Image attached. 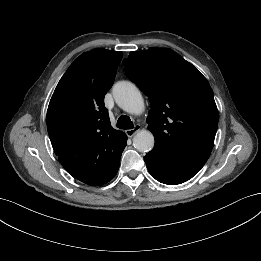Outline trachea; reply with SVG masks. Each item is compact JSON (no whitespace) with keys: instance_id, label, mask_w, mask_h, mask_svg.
Listing matches in <instances>:
<instances>
[{"instance_id":"1","label":"trachea","mask_w":261,"mask_h":261,"mask_svg":"<svg viewBox=\"0 0 261 261\" xmlns=\"http://www.w3.org/2000/svg\"><path fill=\"white\" fill-rule=\"evenodd\" d=\"M117 127L120 129H132L134 125L128 116L122 115L117 120Z\"/></svg>"}]
</instances>
